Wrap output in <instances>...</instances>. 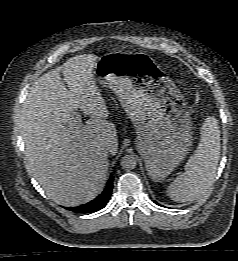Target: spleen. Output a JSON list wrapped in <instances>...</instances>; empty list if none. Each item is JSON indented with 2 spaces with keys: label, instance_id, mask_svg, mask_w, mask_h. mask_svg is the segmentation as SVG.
<instances>
[{
  "label": "spleen",
  "instance_id": "1",
  "mask_svg": "<svg viewBox=\"0 0 238 261\" xmlns=\"http://www.w3.org/2000/svg\"><path fill=\"white\" fill-rule=\"evenodd\" d=\"M220 157V127L214 116H208L201 127V139L195 153L168 187L167 194L175 202L199 199L211 187Z\"/></svg>",
  "mask_w": 238,
  "mask_h": 261
}]
</instances>
